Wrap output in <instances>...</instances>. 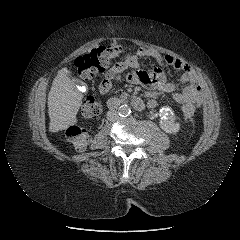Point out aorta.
I'll list each match as a JSON object with an SVG mask.
<instances>
[{"label":"aorta","mask_w":240,"mask_h":240,"mask_svg":"<svg viewBox=\"0 0 240 240\" xmlns=\"http://www.w3.org/2000/svg\"><path fill=\"white\" fill-rule=\"evenodd\" d=\"M119 116L121 117H127L131 113V108L127 105H121L118 109Z\"/></svg>","instance_id":"762f6f07"}]
</instances>
